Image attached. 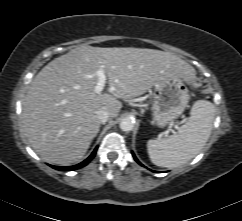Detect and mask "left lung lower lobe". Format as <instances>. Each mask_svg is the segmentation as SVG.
I'll list each match as a JSON object with an SVG mask.
<instances>
[{
    "label": "left lung lower lobe",
    "mask_w": 242,
    "mask_h": 221,
    "mask_svg": "<svg viewBox=\"0 0 242 221\" xmlns=\"http://www.w3.org/2000/svg\"><path fill=\"white\" fill-rule=\"evenodd\" d=\"M132 155H133L135 161H137L140 165H142V164L139 162V160L136 158V156H135V154H134L133 152H132Z\"/></svg>",
    "instance_id": "left-lung-lower-lobe-1"
}]
</instances>
